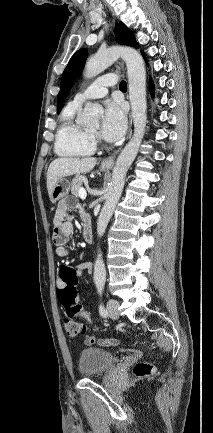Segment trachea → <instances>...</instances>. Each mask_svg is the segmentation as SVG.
<instances>
[{"label":"trachea","instance_id":"3493384b","mask_svg":"<svg viewBox=\"0 0 213 433\" xmlns=\"http://www.w3.org/2000/svg\"><path fill=\"white\" fill-rule=\"evenodd\" d=\"M119 88H120V89H127V84H126V82H125V81H121V82H120V85H119Z\"/></svg>","mask_w":213,"mask_h":433}]
</instances>
